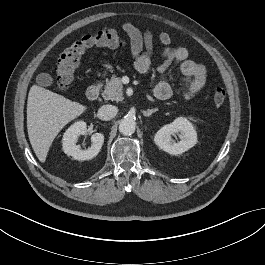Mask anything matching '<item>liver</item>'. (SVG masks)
<instances>
[{"instance_id": "liver-1", "label": "liver", "mask_w": 265, "mask_h": 265, "mask_svg": "<svg viewBox=\"0 0 265 265\" xmlns=\"http://www.w3.org/2000/svg\"><path fill=\"white\" fill-rule=\"evenodd\" d=\"M86 107L38 85L30 88L27 100V130L31 146L40 162L62 128L85 112Z\"/></svg>"}]
</instances>
